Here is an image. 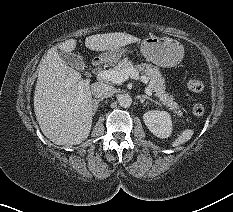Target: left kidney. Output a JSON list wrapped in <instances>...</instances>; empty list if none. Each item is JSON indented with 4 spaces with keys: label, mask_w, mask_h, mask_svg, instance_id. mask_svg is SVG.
<instances>
[{
    "label": "left kidney",
    "mask_w": 233,
    "mask_h": 212,
    "mask_svg": "<svg viewBox=\"0 0 233 212\" xmlns=\"http://www.w3.org/2000/svg\"><path fill=\"white\" fill-rule=\"evenodd\" d=\"M148 129L159 138H168L172 133L171 116L166 111L152 110L143 115Z\"/></svg>",
    "instance_id": "1"
}]
</instances>
